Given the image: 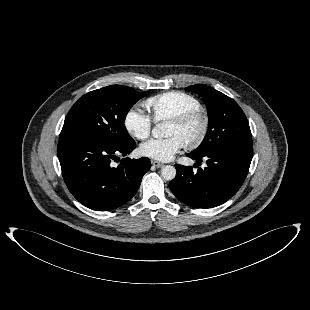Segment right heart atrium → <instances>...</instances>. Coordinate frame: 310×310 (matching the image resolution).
Masks as SVG:
<instances>
[{"mask_svg":"<svg viewBox=\"0 0 310 310\" xmlns=\"http://www.w3.org/2000/svg\"><path fill=\"white\" fill-rule=\"evenodd\" d=\"M124 127L136 139L144 140L151 133L152 121L148 115L133 106L125 114Z\"/></svg>","mask_w":310,"mask_h":310,"instance_id":"d8ad5b80","label":"right heart atrium"}]
</instances>
